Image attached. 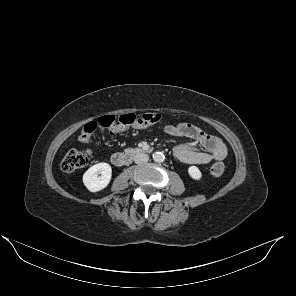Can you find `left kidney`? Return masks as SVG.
Here are the masks:
<instances>
[{
    "instance_id": "obj_1",
    "label": "left kidney",
    "mask_w": 296,
    "mask_h": 296,
    "mask_svg": "<svg viewBox=\"0 0 296 296\" xmlns=\"http://www.w3.org/2000/svg\"><path fill=\"white\" fill-rule=\"evenodd\" d=\"M188 174L192 179L200 180L202 177L201 171L196 166H190L188 168Z\"/></svg>"
}]
</instances>
